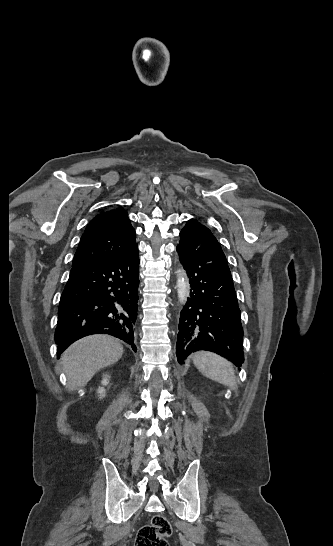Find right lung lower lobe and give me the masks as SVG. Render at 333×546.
<instances>
[{"mask_svg":"<svg viewBox=\"0 0 333 546\" xmlns=\"http://www.w3.org/2000/svg\"><path fill=\"white\" fill-rule=\"evenodd\" d=\"M138 276L137 244L113 260L72 267L58 310V356L74 341L96 333L117 337L136 352Z\"/></svg>","mask_w":333,"mask_h":546,"instance_id":"obj_1","label":"right lung lower lobe"}]
</instances>
